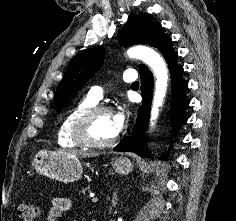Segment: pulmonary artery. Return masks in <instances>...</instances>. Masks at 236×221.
I'll return each instance as SVG.
<instances>
[{
    "mask_svg": "<svg viewBox=\"0 0 236 221\" xmlns=\"http://www.w3.org/2000/svg\"><path fill=\"white\" fill-rule=\"evenodd\" d=\"M136 74L134 70H126L122 75V80L126 83H131L136 80ZM89 97L94 101L98 102L103 96V87L93 86L89 91Z\"/></svg>",
    "mask_w": 236,
    "mask_h": 221,
    "instance_id": "e3ab8cb5",
    "label": "pulmonary artery"
}]
</instances>
